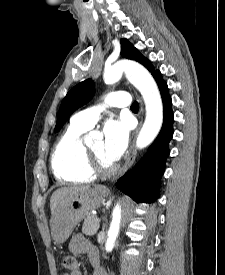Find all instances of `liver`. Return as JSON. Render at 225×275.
Instances as JSON below:
<instances>
[{
	"instance_id": "obj_1",
	"label": "liver",
	"mask_w": 225,
	"mask_h": 275,
	"mask_svg": "<svg viewBox=\"0 0 225 275\" xmlns=\"http://www.w3.org/2000/svg\"><path fill=\"white\" fill-rule=\"evenodd\" d=\"M91 190L90 186H68V187H63L59 188L56 191L53 192L51 198H50V209L51 212L54 211L58 203L65 198L66 196L70 195H76L79 193H84Z\"/></svg>"
}]
</instances>
